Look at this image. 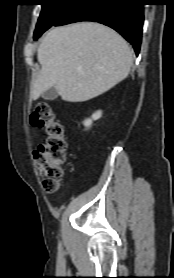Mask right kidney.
Wrapping results in <instances>:
<instances>
[{
	"label": "right kidney",
	"mask_w": 174,
	"mask_h": 278,
	"mask_svg": "<svg viewBox=\"0 0 174 278\" xmlns=\"http://www.w3.org/2000/svg\"><path fill=\"white\" fill-rule=\"evenodd\" d=\"M101 116H102V111H100V110H99V111H96V112L91 116V118L86 119V120L83 122L84 126H85L87 129L90 128L91 125H92V123H93V121L98 120Z\"/></svg>",
	"instance_id": "1"
}]
</instances>
